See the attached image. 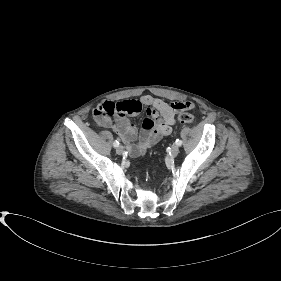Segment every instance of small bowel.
<instances>
[{
  "instance_id": "obj_1",
  "label": "small bowel",
  "mask_w": 281,
  "mask_h": 281,
  "mask_svg": "<svg viewBox=\"0 0 281 281\" xmlns=\"http://www.w3.org/2000/svg\"><path fill=\"white\" fill-rule=\"evenodd\" d=\"M137 102L140 106H146L147 118L143 121V130L137 140V130L131 122L128 115H136L140 112L136 111L128 114L117 116L114 123V129L122 141L125 143L129 154L133 157L144 154L147 149L154 147L163 137L168 136L173 131L175 124V113L180 110L190 109L193 104L190 102L167 103L162 99L145 95L139 101H125L127 105ZM112 102H103L99 104L95 111Z\"/></svg>"
}]
</instances>
